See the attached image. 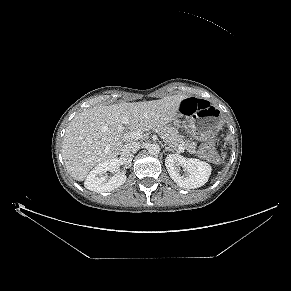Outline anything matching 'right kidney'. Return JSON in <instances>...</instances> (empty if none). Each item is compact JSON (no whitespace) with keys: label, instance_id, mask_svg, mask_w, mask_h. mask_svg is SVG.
Wrapping results in <instances>:
<instances>
[{"label":"right kidney","instance_id":"right-kidney-1","mask_svg":"<svg viewBox=\"0 0 291 291\" xmlns=\"http://www.w3.org/2000/svg\"><path fill=\"white\" fill-rule=\"evenodd\" d=\"M120 167V161L117 158H112L97 165L87 176L84 186L91 191L102 193L110 192L121 186L126 181L124 173H116L108 178L106 172H117Z\"/></svg>","mask_w":291,"mask_h":291}]
</instances>
